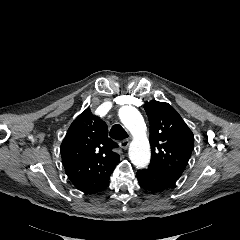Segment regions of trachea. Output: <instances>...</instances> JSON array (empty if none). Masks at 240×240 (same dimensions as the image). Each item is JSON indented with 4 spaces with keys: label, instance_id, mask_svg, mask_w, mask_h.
I'll return each instance as SVG.
<instances>
[{
    "label": "trachea",
    "instance_id": "1",
    "mask_svg": "<svg viewBox=\"0 0 240 240\" xmlns=\"http://www.w3.org/2000/svg\"><path fill=\"white\" fill-rule=\"evenodd\" d=\"M110 136L115 140H124L129 137L127 132L119 124L112 126L110 130Z\"/></svg>",
    "mask_w": 240,
    "mask_h": 240
}]
</instances>
